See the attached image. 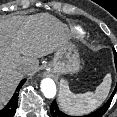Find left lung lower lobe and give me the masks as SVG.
Masks as SVG:
<instances>
[{
  "label": "left lung lower lobe",
  "mask_w": 117,
  "mask_h": 117,
  "mask_svg": "<svg viewBox=\"0 0 117 117\" xmlns=\"http://www.w3.org/2000/svg\"><path fill=\"white\" fill-rule=\"evenodd\" d=\"M115 65H116V70H117V60L116 59H115ZM116 90H117V85H116L112 95L108 99V101L101 108H99L98 110H96L95 112H93L91 114L81 116V117H102L104 115V113L107 111V109L109 108ZM50 111H51L52 117H72V116H68V115L64 114L63 112H61L59 110L55 100L52 102V104L50 106Z\"/></svg>",
  "instance_id": "1"
}]
</instances>
